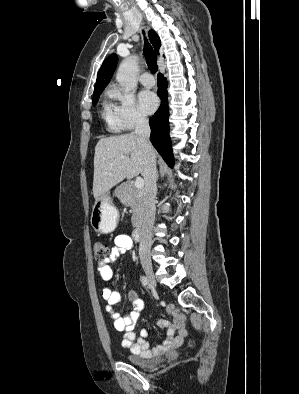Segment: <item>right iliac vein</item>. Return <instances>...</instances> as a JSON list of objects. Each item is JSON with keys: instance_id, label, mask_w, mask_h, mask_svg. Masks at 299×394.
I'll use <instances>...</instances> for the list:
<instances>
[{"instance_id": "1", "label": "right iliac vein", "mask_w": 299, "mask_h": 394, "mask_svg": "<svg viewBox=\"0 0 299 394\" xmlns=\"http://www.w3.org/2000/svg\"><path fill=\"white\" fill-rule=\"evenodd\" d=\"M143 270L146 274L147 280L152 288L156 287L155 275L151 264H143Z\"/></svg>"}]
</instances>
